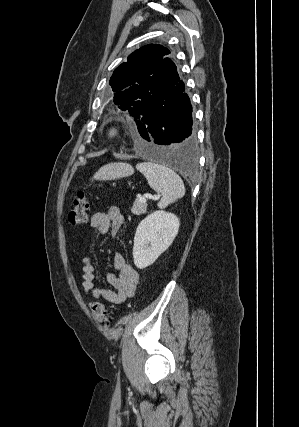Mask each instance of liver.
Masks as SVG:
<instances>
[{
	"instance_id": "liver-1",
	"label": "liver",
	"mask_w": 299,
	"mask_h": 427,
	"mask_svg": "<svg viewBox=\"0 0 299 427\" xmlns=\"http://www.w3.org/2000/svg\"><path fill=\"white\" fill-rule=\"evenodd\" d=\"M134 170L131 165L127 163H110L101 167L95 174L94 179L106 180L119 177H125L133 174Z\"/></svg>"
}]
</instances>
